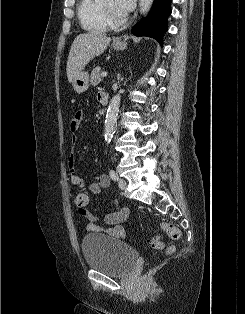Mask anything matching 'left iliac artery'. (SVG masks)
Here are the masks:
<instances>
[{
	"mask_svg": "<svg viewBox=\"0 0 245 314\" xmlns=\"http://www.w3.org/2000/svg\"><path fill=\"white\" fill-rule=\"evenodd\" d=\"M109 175H110L111 179L114 180V181H117L118 178H119L118 175H117V173H116L113 169H111V170L109 171Z\"/></svg>",
	"mask_w": 245,
	"mask_h": 314,
	"instance_id": "obj_1",
	"label": "left iliac artery"
}]
</instances>
